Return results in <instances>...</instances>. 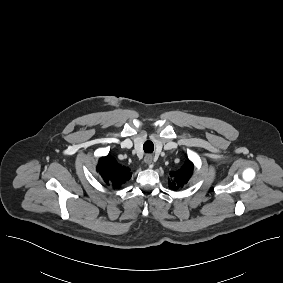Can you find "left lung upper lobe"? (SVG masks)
Returning <instances> with one entry per match:
<instances>
[{"mask_svg": "<svg viewBox=\"0 0 283 283\" xmlns=\"http://www.w3.org/2000/svg\"><path fill=\"white\" fill-rule=\"evenodd\" d=\"M193 164L190 161H187L180 170L176 173H171V177L174 178V182L172 183V187H176V189L180 186L186 184L189 178L192 175ZM170 182V181H169Z\"/></svg>", "mask_w": 283, "mask_h": 283, "instance_id": "5c2ea615", "label": "left lung upper lobe"}]
</instances>
